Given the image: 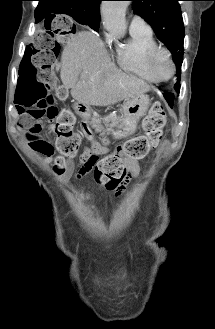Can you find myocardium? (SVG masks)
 Listing matches in <instances>:
<instances>
[{
  "mask_svg": "<svg viewBox=\"0 0 215 329\" xmlns=\"http://www.w3.org/2000/svg\"><path fill=\"white\" fill-rule=\"evenodd\" d=\"M161 56H165L167 58V60L170 64V67H171V72L167 77H161L157 70V61ZM147 65H148L149 71L152 73V75L155 77V79L158 82L168 81L171 78H173V76L176 73V65H175L174 59L172 57V53L168 48H165V47L158 46L153 51H151V53L149 54L148 59H147Z\"/></svg>",
  "mask_w": 215,
  "mask_h": 329,
  "instance_id": "obj_1",
  "label": "myocardium"
}]
</instances>
